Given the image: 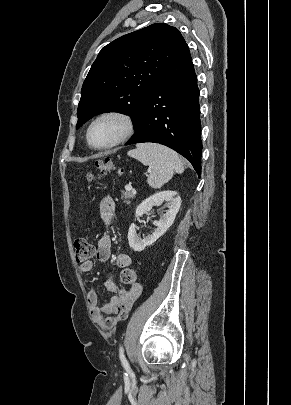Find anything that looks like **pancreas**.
Masks as SVG:
<instances>
[{
    "instance_id": "obj_1",
    "label": "pancreas",
    "mask_w": 291,
    "mask_h": 405,
    "mask_svg": "<svg viewBox=\"0 0 291 405\" xmlns=\"http://www.w3.org/2000/svg\"><path fill=\"white\" fill-rule=\"evenodd\" d=\"M121 198L124 199V202L129 203L130 199L135 198V194L129 191L123 192Z\"/></svg>"
}]
</instances>
